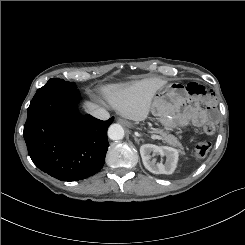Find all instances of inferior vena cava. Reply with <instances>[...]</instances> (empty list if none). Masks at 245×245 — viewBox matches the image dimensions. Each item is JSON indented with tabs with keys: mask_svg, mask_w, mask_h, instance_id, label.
<instances>
[{
	"mask_svg": "<svg viewBox=\"0 0 245 245\" xmlns=\"http://www.w3.org/2000/svg\"><path fill=\"white\" fill-rule=\"evenodd\" d=\"M90 114L100 120H108L110 118V114L105 109L100 107L93 109Z\"/></svg>",
	"mask_w": 245,
	"mask_h": 245,
	"instance_id": "obj_1",
	"label": "inferior vena cava"
}]
</instances>
